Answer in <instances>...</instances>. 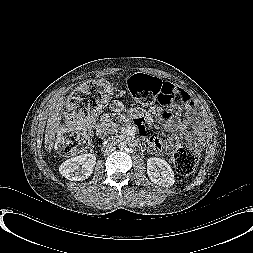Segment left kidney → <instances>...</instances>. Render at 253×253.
<instances>
[{
  "instance_id": "obj_1",
  "label": "left kidney",
  "mask_w": 253,
  "mask_h": 253,
  "mask_svg": "<svg viewBox=\"0 0 253 253\" xmlns=\"http://www.w3.org/2000/svg\"><path fill=\"white\" fill-rule=\"evenodd\" d=\"M147 174L152 182L163 187L172 186L175 182L171 166L161 158L152 157L147 160Z\"/></svg>"
}]
</instances>
